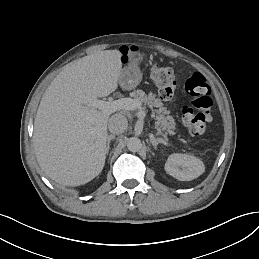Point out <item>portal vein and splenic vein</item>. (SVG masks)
I'll return each instance as SVG.
<instances>
[{"mask_svg": "<svg viewBox=\"0 0 259 259\" xmlns=\"http://www.w3.org/2000/svg\"><path fill=\"white\" fill-rule=\"evenodd\" d=\"M140 103L131 98H120L112 101H104L98 98H95L93 101L89 102L86 105H83L82 108H97L102 111L104 114L110 115L120 110H134ZM139 118H143L145 114L137 115Z\"/></svg>", "mask_w": 259, "mask_h": 259, "instance_id": "1", "label": "portal vein and splenic vein"}]
</instances>
